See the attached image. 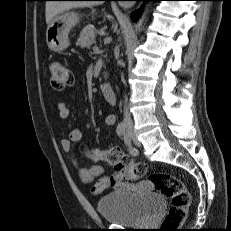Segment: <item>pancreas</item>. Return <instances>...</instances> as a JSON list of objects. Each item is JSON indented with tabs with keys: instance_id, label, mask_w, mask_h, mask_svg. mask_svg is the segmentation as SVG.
Here are the masks:
<instances>
[{
	"instance_id": "obj_1",
	"label": "pancreas",
	"mask_w": 231,
	"mask_h": 231,
	"mask_svg": "<svg viewBox=\"0 0 231 231\" xmlns=\"http://www.w3.org/2000/svg\"><path fill=\"white\" fill-rule=\"evenodd\" d=\"M96 34L90 26H86L80 33V36L76 42L77 46L82 48H90L95 43Z\"/></svg>"
}]
</instances>
